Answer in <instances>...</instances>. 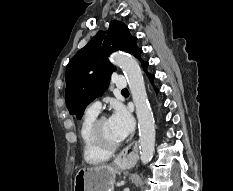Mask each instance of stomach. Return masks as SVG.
I'll use <instances>...</instances> for the list:
<instances>
[{
    "label": "stomach",
    "mask_w": 233,
    "mask_h": 191,
    "mask_svg": "<svg viewBox=\"0 0 233 191\" xmlns=\"http://www.w3.org/2000/svg\"><path fill=\"white\" fill-rule=\"evenodd\" d=\"M126 164L117 162L115 167L81 168L75 175L74 191H113L115 177Z\"/></svg>",
    "instance_id": "obj_1"
}]
</instances>
